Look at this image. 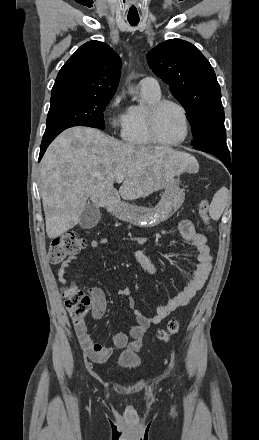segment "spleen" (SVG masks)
<instances>
[{
    "instance_id": "obj_1",
    "label": "spleen",
    "mask_w": 259,
    "mask_h": 440,
    "mask_svg": "<svg viewBox=\"0 0 259 440\" xmlns=\"http://www.w3.org/2000/svg\"><path fill=\"white\" fill-rule=\"evenodd\" d=\"M229 198H230V193L226 187H222L216 192V194L212 199L209 209V214L212 219L219 220L226 207Z\"/></svg>"
}]
</instances>
